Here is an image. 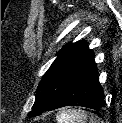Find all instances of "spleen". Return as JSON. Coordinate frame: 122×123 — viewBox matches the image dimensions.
<instances>
[{"instance_id": "3e777b00", "label": "spleen", "mask_w": 122, "mask_h": 123, "mask_svg": "<svg viewBox=\"0 0 122 123\" xmlns=\"http://www.w3.org/2000/svg\"><path fill=\"white\" fill-rule=\"evenodd\" d=\"M88 118H93V115L84 110L63 109L56 115L57 123H87Z\"/></svg>"}]
</instances>
